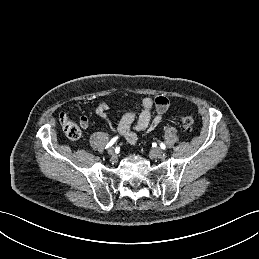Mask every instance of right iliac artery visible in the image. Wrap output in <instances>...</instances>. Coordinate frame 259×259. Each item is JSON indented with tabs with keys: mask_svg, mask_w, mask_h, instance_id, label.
<instances>
[{
	"mask_svg": "<svg viewBox=\"0 0 259 259\" xmlns=\"http://www.w3.org/2000/svg\"><path fill=\"white\" fill-rule=\"evenodd\" d=\"M118 137L113 138L107 145L106 148H109L110 146H112L114 144V142L117 140Z\"/></svg>",
	"mask_w": 259,
	"mask_h": 259,
	"instance_id": "1",
	"label": "right iliac artery"
}]
</instances>
